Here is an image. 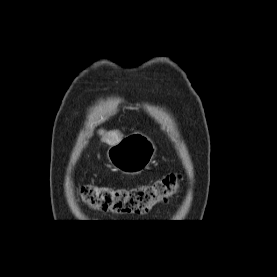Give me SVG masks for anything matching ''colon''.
<instances>
[{
    "mask_svg": "<svg viewBox=\"0 0 277 277\" xmlns=\"http://www.w3.org/2000/svg\"><path fill=\"white\" fill-rule=\"evenodd\" d=\"M178 184L179 177L170 174L151 184L133 188L84 185L79 193L83 202L92 209L120 214H144L155 205L174 198Z\"/></svg>",
    "mask_w": 277,
    "mask_h": 277,
    "instance_id": "obj_1",
    "label": "colon"
}]
</instances>
